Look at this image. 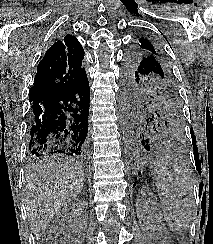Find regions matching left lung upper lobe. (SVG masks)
<instances>
[{"mask_svg":"<svg viewBox=\"0 0 213 244\" xmlns=\"http://www.w3.org/2000/svg\"><path fill=\"white\" fill-rule=\"evenodd\" d=\"M123 106L156 126L166 139L183 134L177 84L165 56L140 37L127 54L122 77Z\"/></svg>","mask_w":213,"mask_h":244,"instance_id":"obj_1","label":"left lung upper lobe"}]
</instances>
